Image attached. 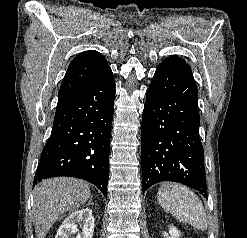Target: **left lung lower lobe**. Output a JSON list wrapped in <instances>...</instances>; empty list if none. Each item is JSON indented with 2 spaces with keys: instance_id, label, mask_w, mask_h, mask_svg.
I'll use <instances>...</instances> for the list:
<instances>
[{
  "instance_id": "1",
  "label": "left lung lower lobe",
  "mask_w": 247,
  "mask_h": 238,
  "mask_svg": "<svg viewBox=\"0 0 247 238\" xmlns=\"http://www.w3.org/2000/svg\"><path fill=\"white\" fill-rule=\"evenodd\" d=\"M199 124L191 68L171 56L158 66L146 94L141 126L143 191L158 182L173 181L206 196Z\"/></svg>"
}]
</instances>
